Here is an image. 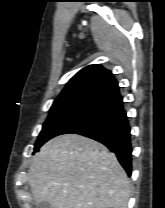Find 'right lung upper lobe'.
I'll list each match as a JSON object with an SVG mask.
<instances>
[{"label":"right lung upper lobe","instance_id":"cb5924a9","mask_svg":"<svg viewBox=\"0 0 165 208\" xmlns=\"http://www.w3.org/2000/svg\"><path fill=\"white\" fill-rule=\"evenodd\" d=\"M118 93V83L109 70L99 64L89 65L69 81L52 106L87 105L94 107Z\"/></svg>","mask_w":165,"mask_h":208}]
</instances>
